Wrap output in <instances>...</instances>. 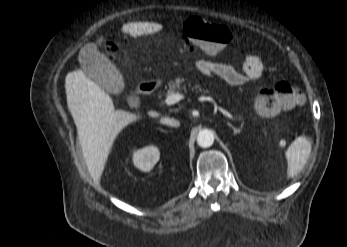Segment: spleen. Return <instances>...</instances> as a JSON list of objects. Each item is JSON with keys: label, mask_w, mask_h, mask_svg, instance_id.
I'll use <instances>...</instances> for the list:
<instances>
[{"label": "spleen", "mask_w": 347, "mask_h": 247, "mask_svg": "<svg viewBox=\"0 0 347 247\" xmlns=\"http://www.w3.org/2000/svg\"><path fill=\"white\" fill-rule=\"evenodd\" d=\"M311 153V143L305 136L296 138L287 151L285 157L288 162V176H295L305 165Z\"/></svg>", "instance_id": "1"}]
</instances>
